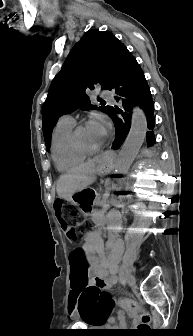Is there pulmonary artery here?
<instances>
[{
    "label": "pulmonary artery",
    "mask_w": 193,
    "mask_h": 336,
    "mask_svg": "<svg viewBox=\"0 0 193 336\" xmlns=\"http://www.w3.org/2000/svg\"><path fill=\"white\" fill-rule=\"evenodd\" d=\"M101 96L104 97L108 102L113 103V96L107 91H101ZM60 123H74V120L70 116H63Z\"/></svg>",
    "instance_id": "1"
}]
</instances>
